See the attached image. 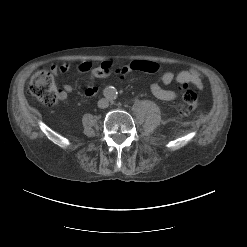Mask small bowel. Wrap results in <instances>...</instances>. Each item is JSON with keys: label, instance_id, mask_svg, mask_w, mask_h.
Masks as SVG:
<instances>
[{"label": "small bowel", "instance_id": "c3829d8e", "mask_svg": "<svg viewBox=\"0 0 247 247\" xmlns=\"http://www.w3.org/2000/svg\"><path fill=\"white\" fill-rule=\"evenodd\" d=\"M109 63V62H108ZM111 64V63H110ZM74 68L81 73H86L91 70V64L87 61L77 63ZM70 69L67 63L61 65H54L51 70L54 74L66 73ZM159 70L158 64L151 61L136 60L132 61L128 66L119 68L117 70L119 75H126L130 71H143L147 73H156ZM171 83H177L180 85L193 84L197 88L203 87L204 78L200 72L195 69H188L179 73H173L170 71L164 72L160 75L159 79L153 82L150 86L152 94L163 101H175L178 94L173 90H168L163 85H169ZM73 91V86L70 83H65L62 90L59 91V98L65 99L67 94ZM87 97H92L97 93L95 86H89L84 91Z\"/></svg>", "mask_w": 247, "mask_h": 247}]
</instances>
